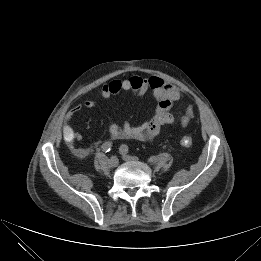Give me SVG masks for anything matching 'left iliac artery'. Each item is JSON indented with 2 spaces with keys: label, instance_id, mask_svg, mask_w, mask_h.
Returning a JSON list of instances; mask_svg holds the SVG:
<instances>
[{
  "label": "left iliac artery",
  "instance_id": "44dca946",
  "mask_svg": "<svg viewBox=\"0 0 261 261\" xmlns=\"http://www.w3.org/2000/svg\"><path fill=\"white\" fill-rule=\"evenodd\" d=\"M119 150L121 153H128L129 147L127 145H121Z\"/></svg>",
  "mask_w": 261,
  "mask_h": 261
}]
</instances>
